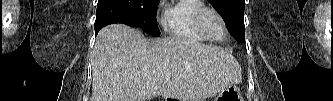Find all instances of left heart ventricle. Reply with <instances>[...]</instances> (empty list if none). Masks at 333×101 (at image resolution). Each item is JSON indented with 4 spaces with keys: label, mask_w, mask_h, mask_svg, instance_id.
Masks as SVG:
<instances>
[{
    "label": "left heart ventricle",
    "mask_w": 333,
    "mask_h": 101,
    "mask_svg": "<svg viewBox=\"0 0 333 101\" xmlns=\"http://www.w3.org/2000/svg\"><path fill=\"white\" fill-rule=\"evenodd\" d=\"M203 23L208 33L213 38H221L223 36L224 30L223 26L216 15L207 12L204 15Z\"/></svg>",
    "instance_id": "obj_1"
}]
</instances>
